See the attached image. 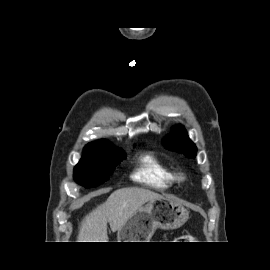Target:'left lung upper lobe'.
<instances>
[{"label":"left lung upper lobe","instance_id":"5c2ea615","mask_svg":"<svg viewBox=\"0 0 270 270\" xmlns=\"http://www.w3.org/2000/svg\"><path fill=\"white\" fill-rule=\"evenodd\" d=\"M164 146L166 149L182 153L187 157L196 156L197 148L181 125L176 128L175 133L168 135L164 139Z\"/></svg>","mask_w":270,"mask_h":270}]
</instances>
